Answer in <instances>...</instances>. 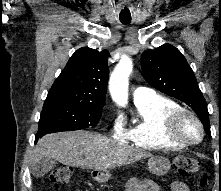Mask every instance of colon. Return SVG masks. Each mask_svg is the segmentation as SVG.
<instances>
[{
    "instance_id": "obj_1",
    "label": "colon",
    "mask_w": 221,
    "mask_h": 191,
    "mask_svg": "<svg viewBox=\"0 0 221 191\" xmlns=\"http://www.w3.org/2000/svg\"><path fill=\"white\" fill-rule=\"evenodd\" d=\"M174 165L181 176L187 177L197 171L199 164L193 158L178 157L174 160ZM50 177L55 186L69 185L72 178V170L68 167H59L51 173Z\"/></svg>"
}]
</instances>
